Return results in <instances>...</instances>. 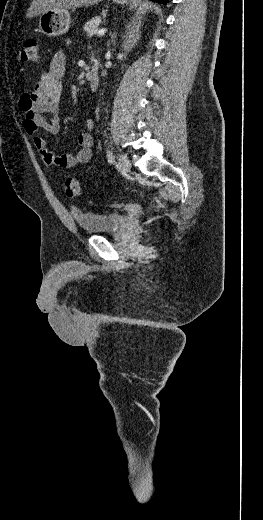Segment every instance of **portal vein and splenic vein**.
Masks as SVG:
<instances>
[{
	"mask_svg": "<svg viewBox=\"0 0 263 520\" xmlns=\"http://www.w3.org/2000/svg\"><path fill=\"white\" fill-rule=\"evenodd\" d=\"M106 31H107V30H106L105 28H104V29H100V30L97 32V35H98V36H102V35H104V34L106 33Z\"/></svg>",
	"mask_w": 263,
	"mask_h": 520,
	"instance_id": "obj_1",
	"label": "portal vein and splenic vein"
}]
</instances>
